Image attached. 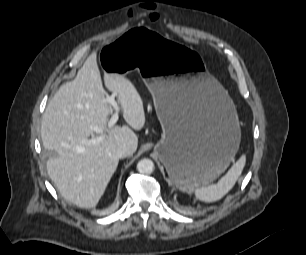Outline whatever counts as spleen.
Here are the masks:
<instances>
[{"mask_svg": "<svg viewBox=\"0 0 306 255\" xmlns=\"http://www.w3.org/2000/svg\"><path fill=\"white\" fill-rule=\"evenodd\" d=\"M245 162L246 157L242 155L216 184L196 188V197L205 202L217 201L224 197L232 189L241 175Z\"/></svg>", "mask_w": 306, "mask_h": 255, "instance_id": "spleen-1", "label": "spleen"}]
</instances>
